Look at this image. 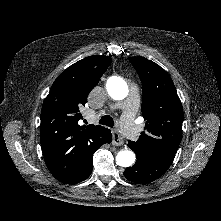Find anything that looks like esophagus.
<instances>
[{"label":"esophagus","mask_w":221,"mask_h":221,"mask_svg":"<svg viewBox=\"0 0 221 221\" xmlns=\"http://www.w3.org/2000/svg\"><path fill=\"white\" fill-rule=\"evenodd\" d=\"M123 144V139L121 135L119 134L117 129L112 130V145L114 146H120Z\"/></svg>","instance_id":"1"}]
</instances>
